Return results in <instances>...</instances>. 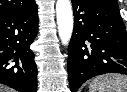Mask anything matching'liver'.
<instances>
[{"label":"liver","instance_id":"liver-1","mask_svg":"<svg viewBox=\"0 0 127 92\" xmlns=\"http://www.w3.org/2000/svg\"><path fill=\"white\" fill-rule=\"evenodd\" d=\"M0 92H13V91L9 89L8 87L0 85Z\"/></svg>","mask_w":127,"mask_h":92}]
</instances>
